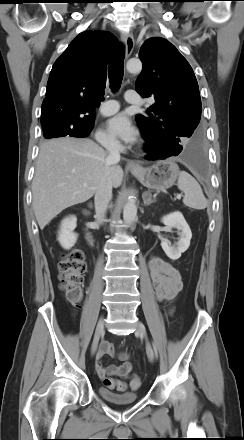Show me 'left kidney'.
<instances>
[{"mask_svg":"<svg viewBox=\"0 0 244 440\" xmlns=\"http://www.w3.org/2000/svg\"><path fill=\"white\" fill-rule=\"evenodd\" d=\"M161 221L168 229L176 228L181 231L179 233L180 238L176 245H171L168 239L161 241V247L166 255L172 260H177L190 246V240L192 238L191 229L182 213L178 211L164 216Z\"/></svg>","mask_w":244,"mask_h":440,"instance_id":"left-kidney-1","label":"left kidney"}]
</instances>
